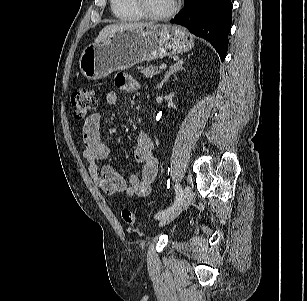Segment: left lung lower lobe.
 Segmentation results:
<instances>
[{"mask_svg":"<svg viewBox=\"0 0 307 301\" xmlns=\"http://www.w3.org/2000/svg\"><path fill=\"white\" fill-rule=\"evenodd\" d=\"M230 0H185L183 10L170 22L185 26L209 41L224 61L232 22Z\"/></svg>","mask_w":307,"mask_h":301,"instance_id":"obj_1","label":"left lung lower lobe"}]
</instances>
